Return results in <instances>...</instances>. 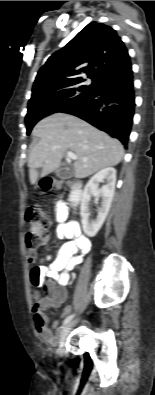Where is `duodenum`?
I'll use <instances>...</instances> for the list:
<instances>
[{
  "mask_svg": "<svg viewBox=\"0 0 155 395\" xmlns=\"http://www.w3.org/2000/svg\"><path fill=\"white\" fill-rule=\"evenodd\" d=\"M51 183V180H48V184ZM82 200V189L80 185H76L74 189L71 191L69 201L71 205L77 206Z\"/></svg>",
  "mask_w": 155,
  "mask_h": 395,
  "instance_id": "1",
  "label": "duodenum"
}]
</instances>
